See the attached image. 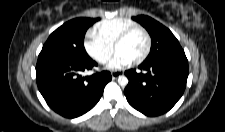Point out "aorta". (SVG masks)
<instances>
[{
  "label": "aorta",
  "mask_w": 225,
  "mask_h": 132,
  "mask_svg": "<svg viewBox=\"0 0 225 132\" xmlns=\"http://www.w3.org/2000/svg\"><path fill=\"white\" fill-rule=\"evenodd\" d=\"M118 84L120 86H122V87L127 86V84H128V78L126 76H124V75L119 76L118 77Z\"/></svg>",
  "instance_id": "obj_1"
}]
</instances>
